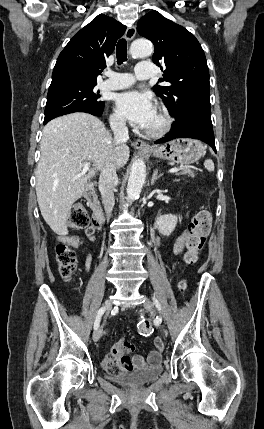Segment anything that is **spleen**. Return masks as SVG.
Wrapping results in <instances>:
<instances>
[{"label":"spleen","mask_w":264,"mask_h":429,"mask_svg":"<svg viewBox=\"0 0 264 429\" xmlns=\"http://www.w3.org/2000/svg\"><path fill=\"white\" fill-rule=\"evenodd\" d=\"M204 166L208 171H214V163L211 159L205 160Z\"/></svg>","instance_id":"obj_1"}]
</instances>
